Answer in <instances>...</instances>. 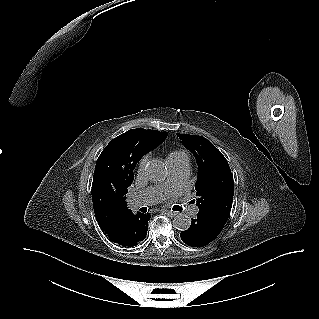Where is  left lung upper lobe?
<instances>
[{
    "label": "left lung upper lobe",
    "instance_id": "5c2ea615",
    "mask_svg": "<svg viewBox=\"0 0 319 319\" xmlns=\"http://www.w3.org/2000/svg\"><path fill=\"white\" fill-rule=\"evenodd\" d=\"M184 146L195 156L198 176L195 185L199 209H231L234 194L233 175L222 153L206 138L178 133Z\"/></svg>",
    "mask_w": 319,
    "mask_h": 319
}]
</instances>
